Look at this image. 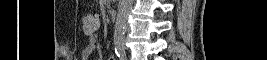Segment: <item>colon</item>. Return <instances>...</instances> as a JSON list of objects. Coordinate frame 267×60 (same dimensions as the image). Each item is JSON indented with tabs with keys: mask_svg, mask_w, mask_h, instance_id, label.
Instances as JSON below:
<instances>
[{
	"mask_svg": "<svg viewBox=\"0 0 267 60\" xmlns=\"http://www.w3.org/2000/svg\"><path fill=\"white\" fill-rule=\"evenodd\" d=\"M83 29L86 34H91L98 29L97 19L90 14H87L83 18Z\"/></svg>",
	"mask_w": 267,
	"mask_h": 60,
	"instance_id": "obj_1",
	"label": "colon"
}]
</instances>
